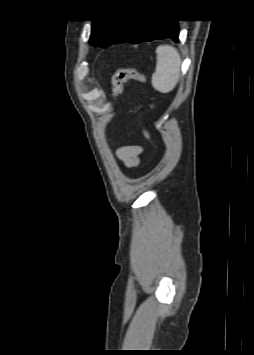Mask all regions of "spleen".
Returning a JSON list of instances; mask_svg holds the SVG:
<instances>
[{
    "instance_id": "1",
    "label": "spleen",
    "mask_w": 254,
    "mask_h": 355,
    "mask_svg": "<svg viewBox=\"0 0 254 355\" xmlns=\"http://www.w3.org/2000/svg\"><path fill=\"white\" fill-rule=\"evenodd\" d=\"M156 70L152 75L153 87L161 93H169L180 77L181 57L174 47L160 45L156 49Z\"/></svg>"
}]
</instances>
